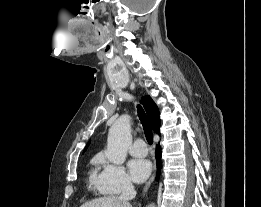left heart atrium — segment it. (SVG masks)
Instances as JSON below:
<instances>
[{
  "instance_id": "39dd6f15",
  "label": "left heart atrium",
  "mask_w": 261,
  "mask_h": 207,
  "mask_svg": "<svg viewBox=\"0 0 261 207\" xmlns=\"http://www.w3.org/2000/svg\"><path fill=\"white\" fill-rule=\"evenodd\" d=\"M128 168L132 180L141 183L151 174L152 165L146 159H132L128 163Z\"/></svg>"
}]
</instances>
